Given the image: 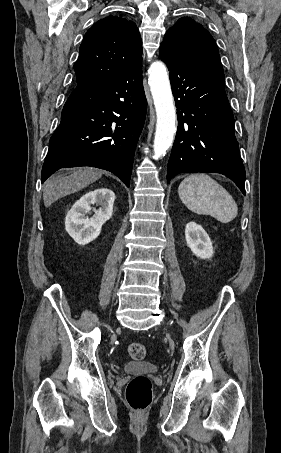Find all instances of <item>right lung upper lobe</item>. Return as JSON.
<instances>
[{
	"instance_id": "cb5924a9",
	"label": "right lung upper lobe",
	"mask_w": 281,
	"mask_h": 453,
	"mask_svg": "<svg viewBox=\"0 0 281 453\" xmlns=\"http://www.w3.org/2000/svg\"><path fill=\"white\" fill-rule=\"evenodd\" d=\"M73 68L75 82H110L142 60V41L136 24L120 16L97 21L85 34Z\"/></svg>"
}]
</instances>
